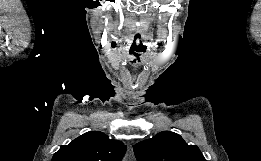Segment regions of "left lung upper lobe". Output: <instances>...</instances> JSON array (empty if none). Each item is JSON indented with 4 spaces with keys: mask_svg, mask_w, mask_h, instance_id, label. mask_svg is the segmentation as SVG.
<instances>
[{
    "mask_svg": "<svg viewBox=\"0 0 261 161\" xmlns=\"http://www.w3.org/2000/svg\"><path fill=\"white\" fill-rule=\"evenodd\" d=\"M137 161H206L195 145H188L179 134L163 131L133 145Z\"/></svg>",
    "mask_w": 261,
    "mask_h": 161,
    "instance_id": "1",
    "label": "left lung upper lobe"
}]
</instances>
